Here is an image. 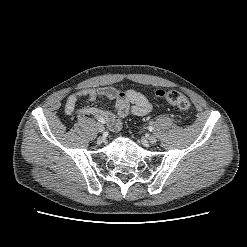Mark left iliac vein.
<instances>
[{
  "label": "left iliac vein",
  "instance_id": "1",
  "mask_svg": "<svg viewBox=\"0 0 247 247\" xmlns=\"http://www.w3.org/2000/svg\"><path fill=\"white\" fill-rule=\"evenodd\" d=\"M148 141L151 143V144H154L157 142V138L155 135H150L148 136Z\"/></svg>",
  "mask_w": 247,
  "mask_h": 247
}]
</instances>
